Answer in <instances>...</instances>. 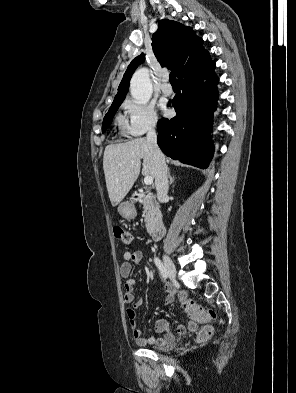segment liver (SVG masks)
I'll use <instances>...</instances> for the list:
<instances>
[{
  "label": "liver",
  "instance_id": "liver-1",
  "mask_svg": "<svg viewBox=\"0 0 296 393\" xmlns=\"http://www.w3.org/2000/svg\"><path fill=\"white\" fill-rule=\"evenodd\" d=\"M142 174L155 178L156 168L145 138H136L122 144L108 145L103 156L106 187L113 206L120 203Z\"/></svg>",
  "mask_w": 296,
  "mask_h": 393
}]
</instances>
